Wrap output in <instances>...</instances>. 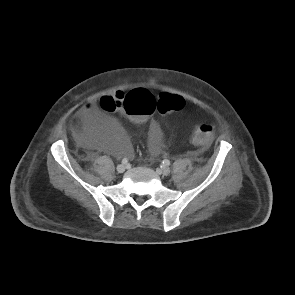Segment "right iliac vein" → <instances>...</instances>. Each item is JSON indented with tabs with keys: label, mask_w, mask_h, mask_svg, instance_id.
Wrapping results in <instances>:
<instances>
[{
	"label": "right iliac vein",
	"mask_w": 295,
	"mask_h": 295,
	"mask_svg": "<svg viewBox=\"0 0 295 295\" xmlns=\"http://www.w3.org/2000/svg\"><path fill=\"white\" fill-rule=\"evenodd\" d=\"M126 169V166L124 164H119L116 168L118 173H123Z\"/></svg>",
	"instance_id": "1"
}]
</instances>
